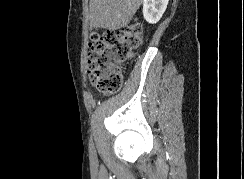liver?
<instances>
[{
	"label": "liver",
	"instance_id": "1",
	"mask_svg": "<svg viewBox=\"0 0 244 179\" xmlns=\"http://www.w3.org/2000/svg\"><path fill=\"white\" fill-rule=\"evenodd\" d=\"M143 0H90L91 28L120 30L129 24Z\"/></svg>",
	"mask_w": 244,
	"mask_h": 179
}]
</instances>
